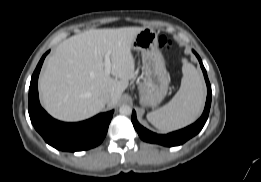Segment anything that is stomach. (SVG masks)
<instances>
[{
  "label": "stomach",
  "mask_w": 261,
  "mask_h": 182,
  "mask_svg": "<svg viewBox=\"0 0 261 182\" xmlns=\"http://www.w3.org/2000/svg\"><path fill=\"white\" fill-rule=\"evenodd\" d=\"M134 51L142 57L144 81L140 89V103L143 106H156L166 96L169 86V75L165 60L158 48V35L152 28L139 32L132 44Z\"/></svg>",
  "instance_id": "1"
}]
</instances>
